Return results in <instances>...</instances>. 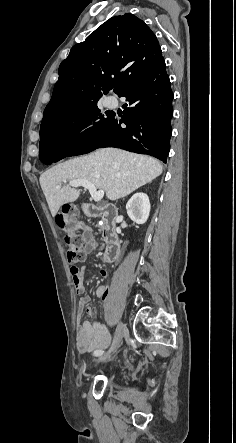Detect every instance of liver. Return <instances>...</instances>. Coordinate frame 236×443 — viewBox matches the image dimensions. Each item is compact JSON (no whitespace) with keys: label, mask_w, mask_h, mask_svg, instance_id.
<instances>
[{"label":"liver","mask_w":236,"mask_h":443,"mask_svg":"<svg viewBox=\"0 0 236 443\" xmlns=\"http://www.w3.org/2000/svg\"><path fill=\"white\" fill-rule=\"evenodd\" d=\"M161 163L150 156L116 148H102L58 164L40 176V185L50 212L56 216L63 204L76 201L80 191L59 185L86 180L104 190L109 200L123 198L161 175Z\"/></svg>","instance_id":"obj_1"}]
</instances>
